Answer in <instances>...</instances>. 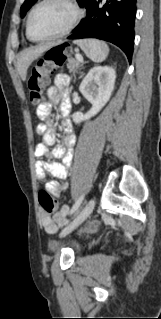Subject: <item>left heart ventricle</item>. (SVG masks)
I'll return each instance as SVG.
<instances>
[{
  "instance_id": "1",
  "label": "left heart ventricle",
  "mask_w": 161,
  "mask_h": 319,
  "mask_svg": "<svg viewBox=\"0 0 161 319\" xmlns=\"http://www.w3.org/2000/svg\"><path fill=\"white\" fill-rule=\"evenodd\" d=\"M72 15L71 9L60 1L43 4L31 21V34L34 38H46L64 28Z\"/></svg>"
}]
</instances>
